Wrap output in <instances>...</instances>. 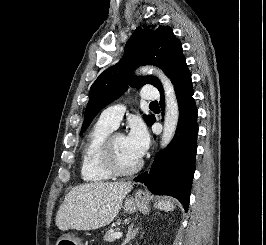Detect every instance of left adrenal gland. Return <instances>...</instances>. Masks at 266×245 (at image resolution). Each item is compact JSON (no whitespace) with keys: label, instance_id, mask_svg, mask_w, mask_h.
<instances>
[{"label":"left adrenal gland","instance_id":"a2214340","mask_svg":"<svg viewBox=\"0 0 266 245\" xmlns=\"http://www.w3.org/2000/svg\"><path fill=\"white\" fill-rule=\"evenodd\" d=\"M137 231H138V229H133V225H130V227H128L126 239H125L123 245H127V243H129V241H131V239H134Z\"/></svg>","mask_w":266,"mask_h":245}]
</instances>
